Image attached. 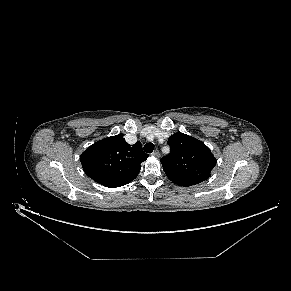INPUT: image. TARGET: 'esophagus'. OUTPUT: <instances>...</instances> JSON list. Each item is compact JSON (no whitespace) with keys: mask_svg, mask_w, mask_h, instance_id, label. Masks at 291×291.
I'll return each mask as SVG.
<instances>
[{"mask_svg":"<svg viewBox=\"0 0 291 291\" xmlns=\"http://www.w3.org/2000/svg\"><path fill=\"white\" fill-rule=\"evenodd\" d=\"M152 155H153L154 157L158 158V157L160 156V153H159L158 150H154L153 153H152Z\"/></svg>","mask_w":291,"mask_h":291,"instance_id":"1","label":"esophagus"}]
</instances>
